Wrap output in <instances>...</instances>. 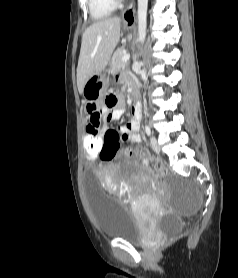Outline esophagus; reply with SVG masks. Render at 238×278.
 Returning a JSON list of instances; mask_svg holds the SVG:
<instances>
[{"mask_svg": "<svg viewBox=\"0 0 238 278\" xmlns=\"http://www.w3.org/2000/svg\"><path fill=\"white\" fill-rule=\"evenodd\" d=\"M135 0H132L131 3L128 5L126 10L123 12V21L125 24L130 25L135 23Z\"/></svg>", "mask_w": 238, "mask_h": 278, "instance_id": "1", "label": "esophagus"}]
</instances>
